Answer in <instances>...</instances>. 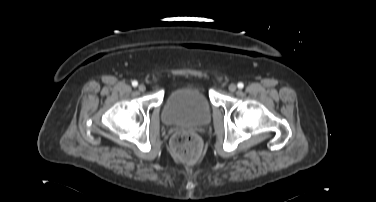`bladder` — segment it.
<instances>
[{
    "instance_id": "obj_1",
    "label": "bladder",
    "mask_w": 376,
    "mask_h": 202,
    "mask_svg": "<svg viewBox=\"0 0 376 202\" xmlns=\"http://www.w3.org/2000/svg\"><path fill=\"white\" fill-rule=\"evenodd\" d=\"M212 108L199 89L188 87L171 92L162 107V120L167 125L198 128L211 120Z\"/></svg>"
}]
</instances>
